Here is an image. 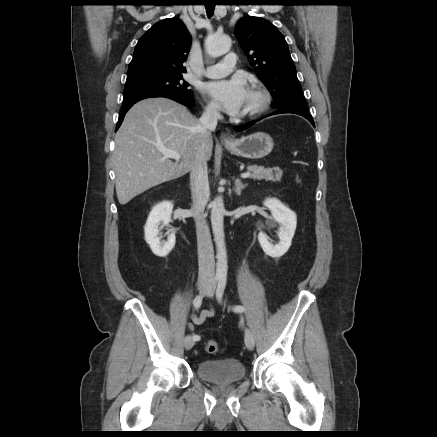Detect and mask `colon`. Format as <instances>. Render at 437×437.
<instances>
[{"instance_id":"1","label":"colon","mask_w":437,"mask_h":437,"mask_svg":"<svg viewBox=\"0 0 437 437\" xmlns=\"http://www.w3.org/2000/svg\"><path fill=\"white\" fill-rule=\"evenodd\" d=\"M205 350H206V352H208L210 354H214V353L218 352V350H219L218 343L214 340L206 341Z\"/></svg>"}]
</instances>
